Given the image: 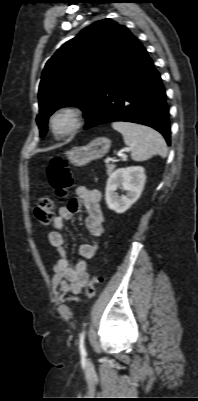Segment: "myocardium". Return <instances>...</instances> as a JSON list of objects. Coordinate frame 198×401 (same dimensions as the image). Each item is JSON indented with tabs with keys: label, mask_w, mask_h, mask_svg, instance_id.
Masks as SVG:
<instances>
[{
	"label": "myocardium",
	"mask_w": 198,
	"mask_h": 401,
	"mask_svg": "<svg viewBox=\"0 0 198 401\" xmlns=\"http://www.w3.org/2000/svg\"><path fill=\"white\" fill-rule=\"evenodd\" d=\"M63 120L67 123L64 128H58L57 122ZM85 112L75 104H63L57 107L49 116L48 129L56 139H63L76 133L84 124Z\"/></svg>",
	"instance_id": "1"
}]
</instances>
